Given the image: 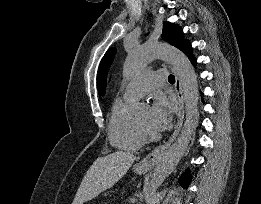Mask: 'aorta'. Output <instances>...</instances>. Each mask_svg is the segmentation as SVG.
Here are the masks:
<instances>
[{"mask_svg": "<svg viewBox=\"0 0 261 204\" xmlns=\"http://www.w3.org/2000/svg\"><path fill=\"white\" fill-rule=\"evenodd\" d=\"M157 58L169 62L179 78L183 88L186 119L179 137L159 160L154 169L151 178L152 191L164 182L184 155L194 131L199 99L197 75L191 62L182 51L169 45L146 43L132 49L124 63L123 71L125 76L133 77L139 74L149 62ZM144 108L145 104L138 103L135 113L140 114Z\"/></svg>", "mask_w": 261, "mask_h": 204, "instance_id": "aorta-1", "label": "aorta"}]
</instances>
